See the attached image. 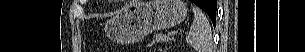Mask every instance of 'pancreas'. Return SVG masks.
I'll return each mask as SVG.
<instances>
[{
  "mask_svg": "<svg viewBox=\"0 0 305 52\" xmlns=\"http://www.w3.org/2000/svg\"><path fill=\"white\" fill-rule=\"evenodd\" d=\"M171 40H172V39H171L169 36L160 34V35H156V36H155V38H154V40L151 42V44H154L155 42H156V43H167V42H169V41H171Z\"/></svg>",
  "mask_w": 305,
  "mask_h": 52,
  "instance_id": "pancreas-1",
  "label": "pancreas"
}]
</instances>
